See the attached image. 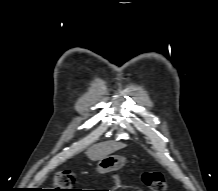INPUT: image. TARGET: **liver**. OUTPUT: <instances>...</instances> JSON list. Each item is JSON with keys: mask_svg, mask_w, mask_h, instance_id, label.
<instances>
[{"mask_svg": "<svg viewBox=\"0 0 218 191\" xmlns=\"http://www.w3.org/2000/svg\"><path fill=\"white\" fill-rule=\"evenodd\" d=\"M126 147L125 144L115 142V141H105L98 144H95L91 146L87 151L86 155L92 160V161H98L101 160L113 152L120 150L122 148Z\"/></svg>", "mask_w": 218, "mask_h": 191, "instance_id": "6515ba94", "label": "liver"}]
</instances>
